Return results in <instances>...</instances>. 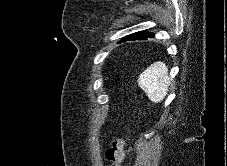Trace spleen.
<instances>
[{"mask_svg": "<svg viewBox=\"0 0 227 166\" xmlns=\"http://www.w3.org/2000/svg\"><path fill=\"white\" fill-rule=\"evenodd\" d=\"M169 84L168 67L162 61L151 64L138 79V85L154 103H159L165 98Z\"/></svg>", "mask_w": 227, "mask_h": 166, "instance_id": "spleen-1", "label": "spleen"}]
</instances>
